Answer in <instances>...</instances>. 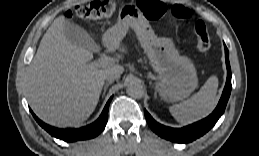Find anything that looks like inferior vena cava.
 I'll return each mask as SVG.
<instances>
[{
	"label": "inferior vena cava",
	"mask_w": 259,
	"mask_h": 156,
	"mask_svg": "<svg viewBox=\"0 0 259 156\" xmlns=\"http://www.w3.org/2000/svg\"><path fill=\"white\" fill-rule=\"evenodd\" d=\"M120 72L119 71H108L104 78L105 80L109 81V82H113L114 80H118L120 78Z\"/></svg>",
	"instance_id": "obj_1"
}]
</instances>
